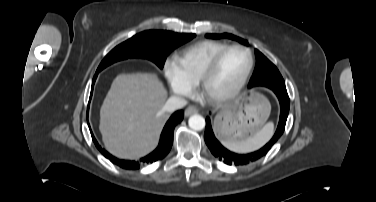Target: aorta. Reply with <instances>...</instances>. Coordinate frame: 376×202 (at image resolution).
<instances>
[{"label": "aorta", "mask_w": 376, "mask_h": 202, "mask_svg": "<svg viewBox=\"0 0 376 202\" xmlns=\"http://www.w3.org/2000/svg\"><path fill=\"white\" fill-rule=\"evenodd\" d=\"M189 127L193 130L200 131L205 128V119L199 114L192 115L188 120Z\"/></svg>", "instance_id": "1"}]
</instances>
